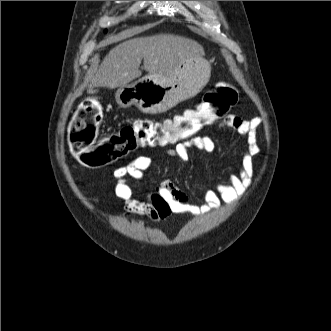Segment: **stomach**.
<instances>
[{
	"label": "stomach",
	"instance_id": "0dacf381",
	"mask_svg": "<svg viewBox=\"0 0 331 331\" xmlns=\"http://www.w3.org/2000/svg\"><path fill=\"white\" fill-rule=\"evenodd\" d=\"M210 74V63L202 56H195L168 76L148 74L121 87L116 92V101L122 108L136 106L146 114L163 113L198 94Z\"/></svg>",
	"mask_w": 331,
	"mask_h": 331
}]
</instances>
